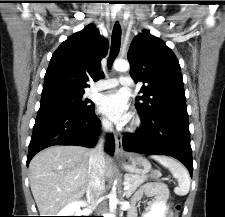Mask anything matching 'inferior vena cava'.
I'll return each instance as SVG.
<instances>
[{
  "mask_svg": "<svg viewBox=\"0 0 225 217\" xmlns=\"http://www.w3.org/2000/svg\"><path fill=\"white\" fill-rule=\"evenodd\" d=\"M105 132L112 131V124L108 121L103 122ZM104 138L101 137L95 146L90 151L89 169L90 179L87 187V198L93 205H97L101 201V195L105 189V159H104Z\"/></svg>",
  "mask_w": 225,
  "mask_h": 217,
  "instance_id": "obj_1",
  "label": "inferior vena cava"
}]
</instances>
